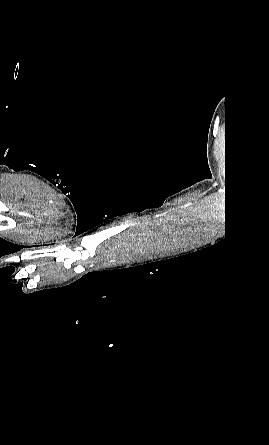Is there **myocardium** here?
I'll list each match as a JSON object with an SVG mask.
<instances>
[{
  "instance_id": "obj_1",
  "label": "myocardium",
  "mask_w": 269,
  "mask_h": 445,
  "mask_svg": "<svg viewBox=\"0 0 269 445\" xmlns=\"http://www.w3.org/2000/svg\"><path fill=\"white\" fill-rule=\"evenodd\" d=\"M58 238H60L59 235H49V236L42 237L39 240L46 241V240H53V239H58Z\"/></svg>"
}]
</instances>
